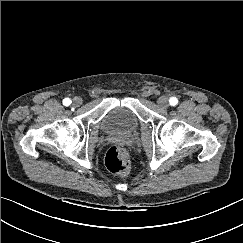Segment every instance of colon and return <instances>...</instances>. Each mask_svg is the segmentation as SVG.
<instances>
[{"label": "colon", "mask_w": 243, "mask_h": 243, "mask_svg": "<svg viewBox=\"0 0 243 243\" xmlns=\"http://www.w3.org/2000/svg\"><path fill=\"white\" fill-rule=\"evenodd\" d=\"M105 164L109 171L126 176L130 170V162L126 151L120 146H112L106 153Z\"/></svg>", "instance_id": "obj_1"}]
</instances>
